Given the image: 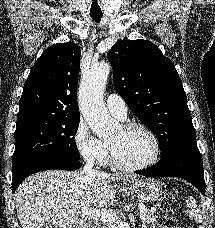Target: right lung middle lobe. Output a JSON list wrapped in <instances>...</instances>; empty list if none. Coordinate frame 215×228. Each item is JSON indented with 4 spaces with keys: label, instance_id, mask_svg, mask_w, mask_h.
Listing matches in <instances>:
<instances>
[{
    "label": "right lung middle lobe",
    "instance_id": "1",
    "mask_svg": "<svg viewBox=\"0 0 215 228\" xmlns=\"http://www.w3.org/2000/svg\"><path fill=\"white\" fill-rule=\"evenodd\" d=\"M80 118L39 120L16 126L12 165L37 157L79 160L75 143Z\"/></svg>",
    "mask_w": 215,
    "mask_h": 228
}]
</instances>
